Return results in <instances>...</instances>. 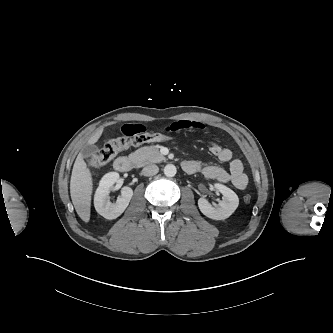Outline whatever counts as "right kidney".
Masks as SVG:
<instances>
[{
	"instance_id": "right-kidney-1",
	"label": "right kidney",
	"mask_w": 333,
	"mask_h": 333,
	"mask_svg": "<svg viewBox=\"0 0 333 333\" xmlns=\"http://www.w3.org/2000/svg\"><path fill=\"white\" fill-rule=\"evenodd\" d=\"M119 174L110 172L103 176L94 197V206L96 211L104 218L112 220L120 216L133 196V190L130 187H123L121 195L115 203L110 201V189L116 183Z\"/></svg>"
}]
</instances>
